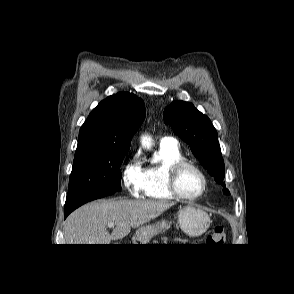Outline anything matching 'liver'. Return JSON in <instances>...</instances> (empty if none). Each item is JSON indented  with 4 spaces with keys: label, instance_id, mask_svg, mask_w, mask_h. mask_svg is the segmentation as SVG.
Masks as SVG:
<instances>
[{
    "label": "liver",
    "instance_id": "liver-1",
    "mask_svg": "<svg viewBox=\"0 0 294 294\" xmlns=\"http://www.w3.org/2000/svg\"><path fill=\"white\" fill-rule=\"evenodd\" d=\"M173 203L153 200H116L90 202L69 215L64 223L66 244H110L161 215ZM109 223H114L110 234Z\"/></svg>",
    "mask_w": 294,
    "mask_h": 294
}]
</instances>
